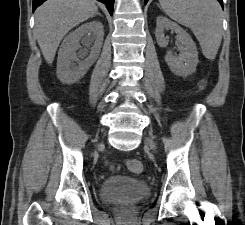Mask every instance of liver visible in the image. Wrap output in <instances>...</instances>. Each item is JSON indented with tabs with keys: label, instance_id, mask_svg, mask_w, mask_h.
<instances>
[{
	"label": "liver",
	"instance_id": "6515ba94",
	"mask_svg": "<svg viewBox=\"0 0 245 225\" xmlns=\"http://www.w3.org/2000/svg\"><path fill=\"white\" fill-rule=\"evenodd\" d=\"M98 13L94 0H47L35 11V34L48 64L54 60L63 37Z\"/></svg>",
	"mask_w": 245,
	"mask_h": 225
}]
</instances>
